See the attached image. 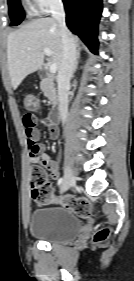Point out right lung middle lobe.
Instances as JSON below:
<instances>
[{
  "instance_id": "right-lung-middle-lobe-1",
  "label": "right lung middle lobe",
  "mask_w": 134,
  "mask_h": 281,
  "mask_svg": "<svg viewBox=\"0 0 134 281\" xmlns=\"http://www.w3.org/2000/svg\"><path fill=\"white\" fill-rule=\"evenodd\" d=\"M8 5L11 25L16 26L24 19V12L20 0H8Z\"/></svg>"
}]
</instances>
